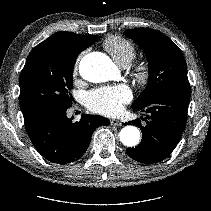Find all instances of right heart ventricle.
I'll return each mask as SVG.
<instances>
[{
	"label": "right heart ventricle",
	"mask_w": 211,
	"mask_h": 211,
	"mask_svg": "<svg viewBox=\"0 0 211 211\" xmlns=\"http://www.w3.org/2000/svg\"><path fill=\"white\" fill-rule=\"evenodd\" d=\"M104 48L120 66H128L136 56L135 45L128 39L112 35L105 39Z\"/></svg>",
	"instance_id": "1"
}]
</instances>
